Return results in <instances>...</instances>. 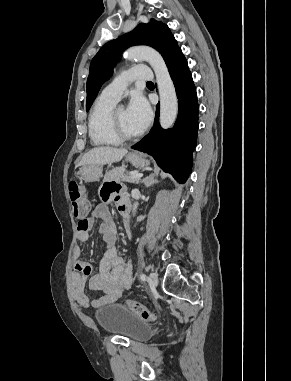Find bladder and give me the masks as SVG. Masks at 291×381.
<instances>
[{
    "mask_svg": "<svg viewBox=\"0 0 291 381\" xmlns=\"http://www.w3.org/2000/svg\"><path fill=\"white\" fill-rule=\"evenodd\" d=\"M95 317L103 331L123 336L130 341H143L152 334V328L148 322L119 304L98 309Z\"/></svg>",
    "mask_w": 291,
    "mask_h": 381,
    "instance_id": "1",
    "label": "bladder"
}]
</instances>
